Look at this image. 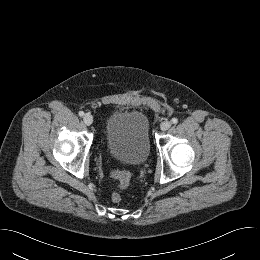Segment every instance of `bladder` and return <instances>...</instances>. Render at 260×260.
Wrapping results in <instances>:
<instances>
[{
	"label": "bladder",
	"mask_w": 260,
	"mask_h": 260,
	"mask_svg": "<svg viewBox=\"0 0 260 260\" xmlns=\"http://www.w3.org/2000/svg\"><path fill=\"white\" fill-rule=\"evenodd\" d=\"M106 147L120 163L140 166L150 154L149 123L137 110L120 109L111 114L106 124Z\"/></svg>",
	"instance_id": "bladder-1"
}]
</instances>
